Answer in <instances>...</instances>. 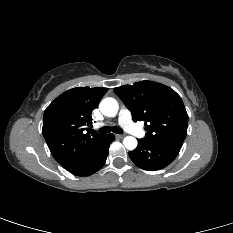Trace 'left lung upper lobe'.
Here are the masks:
<instances>
[{
	"instance_id": "left-lung-upper-lobe-1",
	"label": "left lung upper lobe",
	"mask_w": 233,
	"mask_h": 233,
	"mask_svg": "<svg viewBox=\"0 0 233 233\" xmlns=\"http://www.w3.org/2000/svg\"><path fill=\"white\" fill-rule=\"evenodd\" d=\"M114 92L131 111L133 120L144 121V139L154 142L184 141L188 115L180 96L171 88L152 81L117 87Z\"/></svg>"
}]
</instances>
